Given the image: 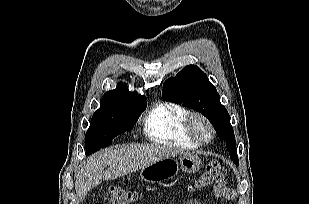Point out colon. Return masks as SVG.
<instances>
[{"label": "colon", "mask_w": 309, "mask_h": 204, "mask_svg": "<svg viewBox=\"0 0 309 204\" xmlns=\"http://www.w3.org/2000/svg\"><path fill=\"white\" fill-rule=\"evenodd\" d=\"M225 174L226 170L221 163L219 161H212L206 166L204 172L201 174L194 187L196 189H203L216 185L223 180ZM137 198V192L112 186L107 189L105 202L107 204H132L137 200Z\"/></svg>", "instance_id": "obj_1"}]
</instances>
